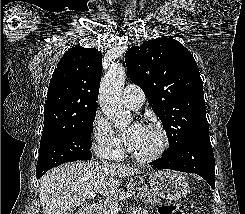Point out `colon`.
Wrapping results in <instances>:
<instances>
[{"label": "colon", "mask_w": 245, "mask_h": 214, "mask_svg": "<svg viewBox=\"0 0 245 214\" xmlns=\"http://www.w3.org/2000/svg\"><path fill=\"white\" fill-rule=\"evenodd\" d=\"M160 214H186L177 204L167 203L159 208Z\"/></svg>", "instance_id": "1"}]
</instances>
